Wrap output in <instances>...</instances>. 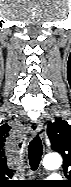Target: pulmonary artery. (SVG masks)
<instances>
[{"instance_id": "obj_1", "label": "pulmonary artery", "mask_w": 71, "mask_h": 187, "mask_svg": "<svg viewBox=\"0 0 71 187\" xmlns=\"http://www.w3.org/2000/svg\"><path fill=\"white\" fill-rule=\"evenodd\" d=\"M59 176L57 174H52L49 176V179L53 180V179H58Z\"/></svg>"}]
</instances>
